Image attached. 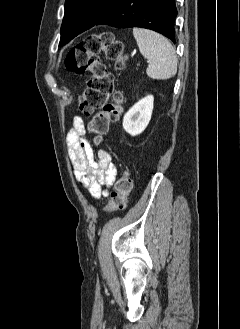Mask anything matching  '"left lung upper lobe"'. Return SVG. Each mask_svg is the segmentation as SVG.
Instances as JSON below:
<instances>
[{
    "label": "left lung upper lobe",
    "mask_w": 240,
    "mask_h": 329,
    "mask_svg": "<svg viewBox=\"0 0 240 329\" xmlns=\"http://www.w3.org/2000/svg\"><path fill=\"white\" fill-rule=\"evenodd\" d=\"M119 0H66L59 45H64L100 21Z\"/></svg>",
    "instance_id": "5c2ea615"
}]
</instances>
